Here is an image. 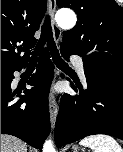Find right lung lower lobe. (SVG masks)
Segmentation results:
<instances>
[{"instance_id": "right-lung-lower-lobe-1", "label": "right lung lower lobe", "mask_w": 123, "mask_h": 152, "mask_svg": "<svg viewBox=\"0 0 123 152\" xmlns=\"http://www.w3.org/2000/svg\"><path fill=\"white\" fill-rule=\"evenodd\" d=\"M23 66L1 68V134L16 136L41 150L50 128L47 97L54 65L45 49L36 73L28 81L32 88L24 89L25 95H20L21 91L11 90V82L13 72L20 71Z\"/></svg>"}]
</instances>
